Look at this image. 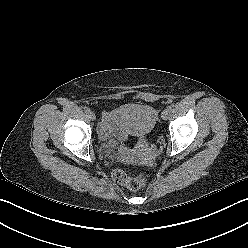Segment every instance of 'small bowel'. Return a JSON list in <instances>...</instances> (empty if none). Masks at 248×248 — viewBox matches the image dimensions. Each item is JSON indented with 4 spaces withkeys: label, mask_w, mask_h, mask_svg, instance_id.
Returning a JSON list of instances; mask_svg holds the SVG:
<instances>
[{
    "label": "small bowel",
    "mask_w": 248,
    "mask_h": 248,
    "mask_svg": "<svg viewBox=\"0 0 248 248\" xmlns=\"http://www.w3.org/2000/svg\"><path fill=\"white\" fill-rule=\"evenodd\" d=\"M99 132L104 139L111 142L125 141L128 137V132L118 124L114 111L103 115Z\"/></svg>",
    "instance_id": "1"
}]
</instances>
